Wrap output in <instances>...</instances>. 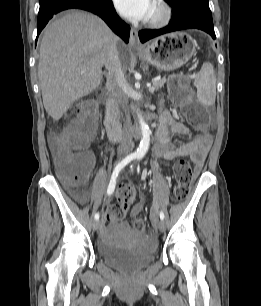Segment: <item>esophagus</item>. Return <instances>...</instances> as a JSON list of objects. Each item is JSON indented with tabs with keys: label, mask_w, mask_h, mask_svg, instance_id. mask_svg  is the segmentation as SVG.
Segmentation results:
<instances>
[{
	"label": "esophagus",
	"mask_w": 261,
	"mask_h": 306,
	"mask_svg": "<svg viewBox=\"0 0 261 306\" xmlns=\"http://www.w3.org/2000/svg\"><path fill=\"white\" fill-rule=\"evenodd\" d=\"M129 45L134 50L141 49V44L138 38V31L133 27H131V30H130Z\"/></svg>",
	"instance_id": "obj_1"
}]
</instances>
